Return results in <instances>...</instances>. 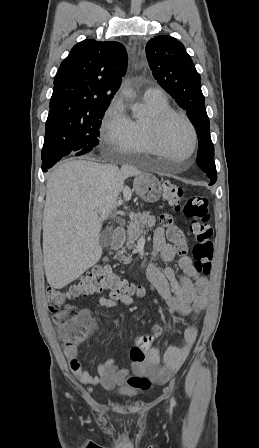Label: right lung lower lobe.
Listing matches in <instances>:
<instances>
[{
  "label": "right lung lower lobe",
  "mask_w": 259,
  "mask_h": 448,
  "mask_svg": "<svg viewBox=\"0 0 259 448\" xmlns=\"http://www.w3.org/2000/svg\"><path fill=\"white\" fill-rule=\"evenodd\" d=\"M61 158H55V159H49V160H44L42 162V170L44 172H47V169H50L53 165H55Z\"/></svg>",
  "instance_id": "obj_1"
}]
</instances>
